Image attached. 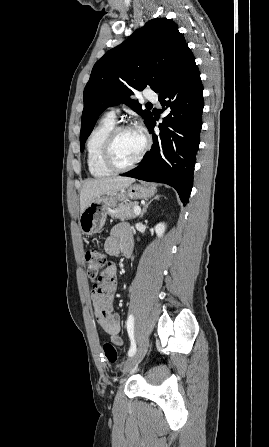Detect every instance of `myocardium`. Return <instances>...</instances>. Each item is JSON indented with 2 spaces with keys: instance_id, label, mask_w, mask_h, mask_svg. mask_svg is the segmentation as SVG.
I'll return each mask as SVG.
<instances>
[{
  "instance_id": "obj_1",
  "label": "myocardium",
  "mask_w": 269,
  "mask_h": 447,
  "mask_svg": "<svg viewBox=\"0 0 269 447\" xmlns=\"http://www.w3.org/2000/svg\"><path fill=\"white\" fill-rule=\"evenodd\" d=\"M130 124H122L114 126V128L109 132L108 136L106 137V140L104 142L103 146V162L111 168L113 171H126L130 170L133 167H135L137 164H139L147 155L149 150L152 146V139L150 135L143 131L146 139L145 147L143 148L142 152L139 154V156L130 164L127 165H121L119 164L114 156V143L116 140V137L118 134L126 129L132 128Z\"/></svg>"
}]
</instances>
